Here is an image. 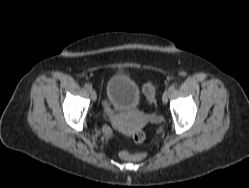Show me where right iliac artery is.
<instances>
[{
	"instance_id": "right-iliac-artery-1",
	"label": "right iliac artery",
	"mask_w": 249,
	"mask_h": 188,
	"mask_svg": "<svg viewBox=\"0 0 249 188\" xmlns=\"http://www.w3.org/2000/svg\"><path fill=\"white\" fill-rule=\"evenodd\" d=\"M85 88L88 89V90H90L92 88V86L90 84L86 83L85 84Z\"/></svg>"
}]
</instances>
